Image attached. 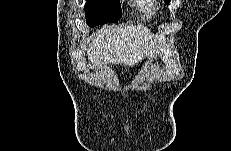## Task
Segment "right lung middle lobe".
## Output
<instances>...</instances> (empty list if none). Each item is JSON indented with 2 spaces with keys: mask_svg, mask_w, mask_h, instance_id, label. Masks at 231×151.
Here are the masks:
<instances>
[{
  "mask_svg": "<svg viewBox=\"0 0 231 151\" xmlns=\"http://www.w3.org/2000/svg\"><path fill=\"white\" fill-rule=\"evenodd\" d=\"M84 10L91 27L117 22L122 16L120 0H88Z\"/></svg>",
  "mask_w": 231,
  "mask_h": 151,
  "instance_id": "1",
  "label": "right lung middle lobe"
}]
</instances>
